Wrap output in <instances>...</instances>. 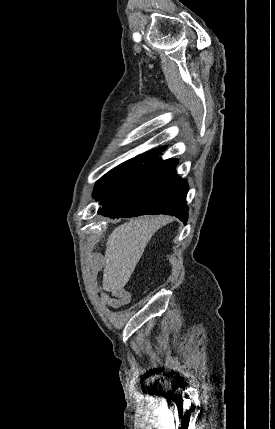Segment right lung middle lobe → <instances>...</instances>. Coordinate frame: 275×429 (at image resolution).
I'll use <instances>...</instances> for the list:
<instances>
[{"mask_svg":"<svg viewBox=\"0 0 275 429\" xmlns=\"http://www.w3.org/2000/svg\"><path fill=\"white\" fill-rule=\"evenodd\" d=\"M151 159L137 157L128 160L105 174L95 185L93 197L99 201L115 194L131 181L142 166Z\"/></svg>","mask_w":275,"mask_h":429,"instance_id":"right-lung-middle-lobe-1","label":"right lung middle lobe"}]
</instances>
